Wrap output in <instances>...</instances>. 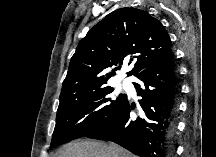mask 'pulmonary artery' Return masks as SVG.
Segmentation results:
<instances>
[{
    "label": "pulmonary artery",
    "mask_w": 216,
    "mask_h": 157,
    "mask_svg": "<svg viewBox=\"0 0 216 157\" xmlns=\"http://www.w3.org/2000/svg\"><path fill=\"white\" fill-rule=\"evenodd\" d=\"M122 85H123V87L127 88V87H129V82L125 80L122 82Z\"/></svg>",
    "instance_id": "pulmonary-artery-1"
}]
</instances>
